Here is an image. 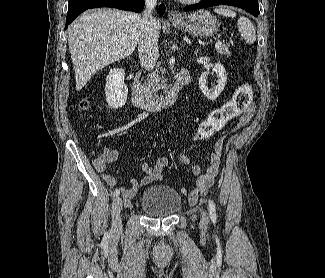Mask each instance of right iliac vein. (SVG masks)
<instances>
[{
    "label": "right iliac vein",
    "mask_w": 325,
    "mask_h": 278,
    "mask_svg": "<svg viewBox=\"0 0 325 278\" xmlns=\"http://www.w3.org/2000/svg\"><path fill=\"white\" fill-rule=\"evenodd\" d=\"M123 207L121 198H116L112 204V230L114 233H119L122 229L120 213Z\"/></svg>",
    "instance_id": "1"
}]
</instances>
